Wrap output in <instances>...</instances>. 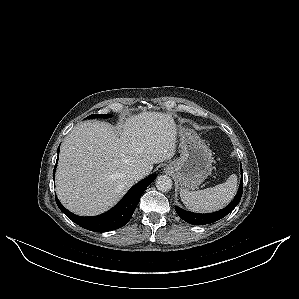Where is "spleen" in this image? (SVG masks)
<instances>
[{
	"label": "spleen",
	"instance_id": "3e777b00",
	"mask_svg": "<svg viewBox=\"0 0 299 299\" xmlns=\"http://www.w3.org/2000/svg\"><path fill=\"white\" fill-rule=\"evenodd\" d=\"M237 189V176L232 174L226 182L215 187L190 192L181 189L180 197L187 209L193 212H213L226 206Z\"/></svg>",
	"mask_w": 299,
	"mask_h": 299
}]
</instances>
